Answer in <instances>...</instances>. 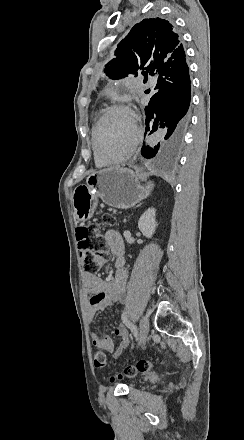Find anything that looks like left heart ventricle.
I'll return each mask as SVG.
<instances>
[{"instance_id": "1", "label": "left heart ventricle", "mask_w": 244, "mask_h": 440, "mask_svg": "<svg viewBox=\"0 0 244 440\" xmlns=\"http://www.w3.org/2000/svg\"><path fill=\"white\" fill-rule=\"evenodd\" d=\"M102 128L99 149L103 151H113L115 146L124 145L136 131L131 114L120 110L113 111Z\"/></svg>"}]
</instances>
